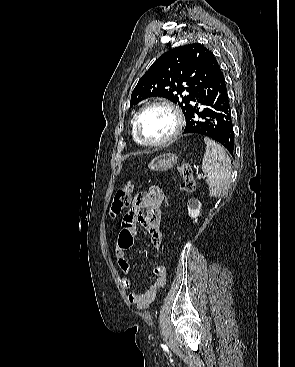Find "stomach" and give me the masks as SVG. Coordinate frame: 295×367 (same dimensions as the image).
I'll return each mask as SVG.
<instances>
[{"mask_svg": "<svg viewBox=\"0 0 295 367\" xmlns=\"http://www.w3.org/2000/svg\"><path fill=\"white\" fill-rule=\"evenodd\" d=\"M177 159L175 154L165 153L151 160L148 167L154 171H167L177 163Z\"/></svg>", "mask_w": 295, "mask_h": 367, "instance_id": "1", "label": "stomach"}]
</instances>
